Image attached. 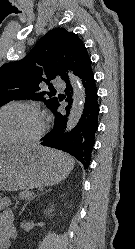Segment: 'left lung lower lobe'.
<instances>
[{
  "label": "left lung lower lobe",
  "instance_id": "0a47b994",
  "mask_svg": "<svg viewBox=\"0 0 135 249\" xmlns=\"http://www.w3.org/2000/svg\"><path fill=\"white\" fill-rule=\"evenodd\" d=\"M85 92V103L81 118L70 133H64L67 116L73 103L71 95V84L67 83L64 98H59L52 109L55 115V124L51 132L42 138L41 145L56 148L76 157L85 168H88L91 160V152L94 147L95 133L98 129L99 104L97 87L91 62L79 76ZM65 99L68 106L65 107L66 114L59 111L60 101Z\"/></svg>",
  "mask_w": 135,
  "mask_h": 249
}]
</instances>
